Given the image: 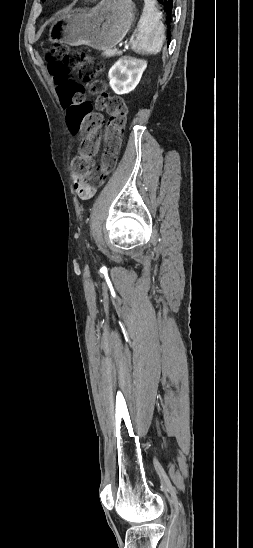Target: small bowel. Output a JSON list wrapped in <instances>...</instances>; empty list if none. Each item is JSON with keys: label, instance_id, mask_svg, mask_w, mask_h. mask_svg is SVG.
Here are the masks:
<instances>
[{"label": "small bowel", "instance_id": "1", "mask_svg": "<svg viewBox=\"0 0 253 548\" xmlns=\"http://www.w3.org/2000/svg\"><path fill=\"white\" fill-rule=\"evenodd\" d=\"M73 184L75 192L83 200H87L93 197L97 190L96 186L89 185L85 181L84 177L77 174L73 175Z\"/></svg>", "mask_w": 253, "mask_h": 548}]
</instances>
